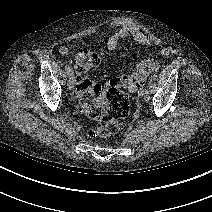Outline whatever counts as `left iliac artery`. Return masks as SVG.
I'll return each instance as SVG.
<instances>
[{
    "instance_id": "obj_1",
    "label": "left iliac artery",
    "mask_w": 212,
    "mask_h": 212,
    "mask_svg": "<svg viewBox=\"0 0 212 212\" xmlns=\"http://www.w3.org/2000/svg\"><path fill=\"white\" fill-rule=\"evenodd\" d=\"M144 92H145L144 93L145 94V96H144L145 97V100L146 101H149L150 100V92H149L147 86L144 87Z\"/></svg>"
}]
</instances>
